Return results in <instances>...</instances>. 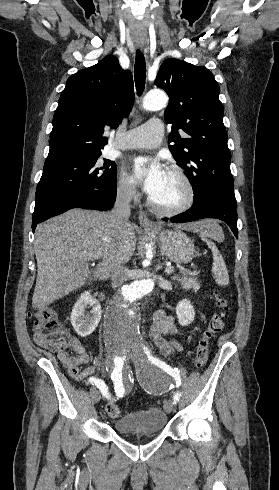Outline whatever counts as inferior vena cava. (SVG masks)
I'll return each mask as SVG.
<instances>
[{
    "mask_svg": "<svg viewBox=\"0 0 279 490\" xmlns=\"http://www.w3.org/2000/svg\"><path fill=\"white\" fill-rule=\"evenodd\" d=\"M135 194L134 188H129V186H123L119 192H117L116 202L114 204L113 210L109 212L110 216V226L114 228H127L130 226L129 218L131 214L130 202L132 196ZM129 278V270L125 268V262H117L114 266V272L111 276V286L112 288H121Z\"/></svg>",
    "mask_w": 279,
    "mask_h": 490,
    "instance_id": "602c4592",
    "label": "inferior vena cava"
}]
</instances>
